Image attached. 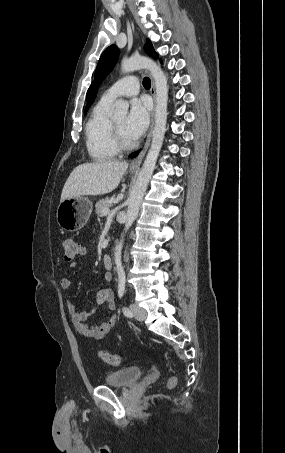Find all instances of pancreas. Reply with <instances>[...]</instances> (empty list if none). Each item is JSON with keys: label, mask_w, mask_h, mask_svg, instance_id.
Segmentation results:
<instances>
[{"label": "pancreas", "mask_w": 285, "mask_h": 453, "mask_svg": "<svg viewBox=\"0 0 285 453\" xmlns=\"http://www.w3.org/2000/svg\"><path fill=\"white\" fill-rule=\"evenodd\" d=\"M110 205H111V200L108 197L99 200L95 205L96 214L101 215L102 211L104 209H109Z\"/></svg>", "instance_id": "pancreas-1"}]
</instances>
